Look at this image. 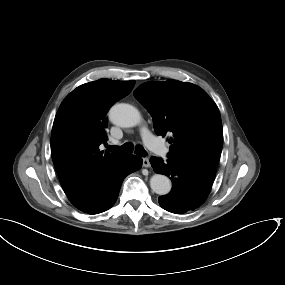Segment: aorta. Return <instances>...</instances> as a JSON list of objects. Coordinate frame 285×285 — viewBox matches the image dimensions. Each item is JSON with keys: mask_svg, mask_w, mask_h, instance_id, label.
Here are the masks:
<instances>
[{"mask_svg": "<svg viewBox=\"0 0 285 285\" xmlns=\"http://www.w3.org/2000/svg\"><path fill=\"white\" fill-rule=\"evenodd\" d=\"M111 122L120 127H134L141 122V114L130 104H115L109 112ZM150 187L158 195H166L171 191L172 184L168 177L154 174L150 179Z\"/></svg>", "mask_w": 285, "mask_h": 285, "instance_id": "aorta-1", "label": "aorta"}]
</instances>
